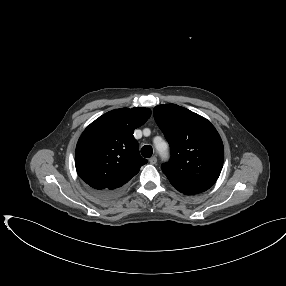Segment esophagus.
I'll list each match as a JSON object with an SVG mask.
<instances>
[{
  "instance_id": "esophagus-1",
  "label": "esophagus",
  "mask_w": 286,
  "mask_h": 286,
  "mask_svg": "<svg viewBox=\"0 0 286 286\" xmlns=\"http://www.w3.org/2000/svg\"><path fill=\"white\" fill-rule=\"evenodd\" d=\"M149 162H150L151 164L155 165V164L157 163V158H156L155 156H153V157H151V158L149 159Z\"/></svg>"
}]
</instances>
